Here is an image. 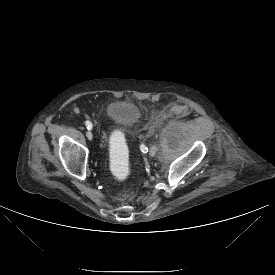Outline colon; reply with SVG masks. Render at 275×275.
Instances as JSON below:
<instances>
[{
  "label": "colon",
  "instance_id": "1",
  "mask_svg": "<svg viewBox=\"0 0 275 275\" xmlns=\"http://www.w3.org/2000/svg\"><path fill=\"white\" fill-rule=\"evenodd\" d=\"M112 153L110 158V170L118 180H124L130 173L128 148L117 135L112 137Z\"/></svg>",
  "mask_w": 275,
  "mask_h": 275
}]
</instances>
